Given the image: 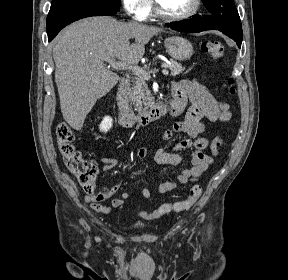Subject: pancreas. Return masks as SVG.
Masks as SVG:
<instances>
[{"mask_svg":"<svg viewBox=\"0 0 288 280\" xmlns=\"http://www.w3.org/2000/svg\"><path fill=\"white\" fill-rule=\"evenodd\" d=\"M163 65L171 70L172 76L182 73L185 69V67L172 59H170L169 62L163 63ZM142 69L145 70L146 66ZM146 80L147 79L141 75H137L133 81L131 98L133 100L135 110L138 112L145 111L153 103V97L148 89Z\"/></svg>","mask_w":288,"mask_h":280,"instance_id":"pancreas-1","label":"pancreas"}]
</instances>
